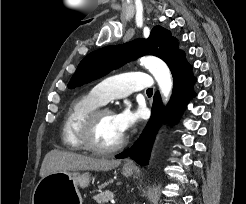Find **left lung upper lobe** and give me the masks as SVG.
Listing matches in <instances>:
<instances>
[{
	"mask_svg": "<svg viewBox=\"0 0 246 204\" xmlns=\"http://www.w3.org/2000/svg\"><path fill=\"white\" fill-rule=\"evenodd\" d=\"M149 54L161 58L171 69L183 53L178 50L177 40L168 30L155 26L148 39L107 46L88 54L80 62L68 88L72 89L98 79L129 60Z\"/></svg>",
	"mask_w": 246,
	"mask_h": 204,
	"instance_id": "obj_1",
	"label": "left lung upper lobe"
}]
</instances>
